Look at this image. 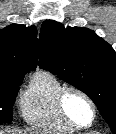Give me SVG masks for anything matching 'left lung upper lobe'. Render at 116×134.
Instances as JSON below:
<instances>
[{
    "label": "left lung upper lobe",
    "mask_w": 116,
    "mask_h": 134,
    "mask_svg": "<svg viewBox=\"0 0 116 134\" xmlns=\"http://www.w3.org/2000/svg\"><path fill=\"white\" fill-rule=\"evenodd\" d=\"M40 68L87 94L116 134V52L94 31L46 20Z\"/></svg>",
    "instance_id": "obj_1"
}]
</instances>
